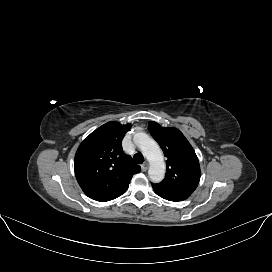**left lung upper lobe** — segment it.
<instances>
[{"instance_id": "left-lung-upper-lobe-1", "label": "left lung upper lobe", "mask_w": 272, "mask_h": 272, "mask_svg": "<svg viewBox=\"0 0 272 272\" xmlns=\"http://www.w3.org/2000/svg\"><path fill=\"white\" fill-rule=\"evenodd\" d=\"M148 128L167 157L165 178L152 184L154 191L178 200L187 199L198 186L201 175L195 151L176 128L161 127L154 121L149 122Z\"/></svg>"}]
</instances>
